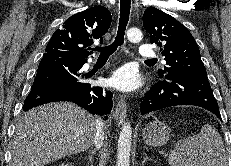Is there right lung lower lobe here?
<instances>
[{
  "label": "right lung lower lobe",
  "instance_id": "right-lung-lower-lobe-1",
  "mask_svg": "<svg viewBox=\"0 0 231 166\" xmlns=\"http://www.w3.org/2000/svg\"><path fill=\"white\" fill-rule=\"evenodd\" d=\"M87 60H70L52 55L41 59L23 110L54 102H73L92 114L107 115L112 110V92L91 86L80 73Z\"/></svg>",
  "mask_w": 231,
  "mask_h": 166
}]
</instances>
